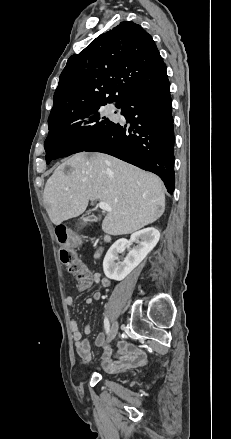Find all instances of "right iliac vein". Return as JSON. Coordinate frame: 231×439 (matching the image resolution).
Masks as SVG:
<instances>
[{
    "label": "right iliac vein",
    "instance_id": "obj_1",
    "mask_svg": "<svg viewBox=\"0 0 231 439\" xmlns=\"http://www.w3.org/2000/svg\"><path fill=\"white\" fill-rule=\"evenodd\" d=\"M118 327H119L118 322L115 320L112 323L110 331H109L108 342H111L115 338V336L118 332Z\"/></svg>",
    "mask_w": 231,
    "mask_h": 439
}]
</instances>
